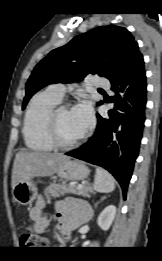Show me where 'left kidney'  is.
<instances>
[{"label": "left kidney", "mask_w": 162, "mask_h": 261, "mask_svg": "<svg viewBox=\"0 0 162 261\" xmlns=\"http://www.w3.org/2000/svg\"><path fill=\"white\" fill-rule=\"evenodd\" d=\"M116 214V207L113 205L107 206L99 215L97 223L99 227L106 231L110 228Z\"/></svg>", "instance_id": "left-kidney-1"}]
</instances>
